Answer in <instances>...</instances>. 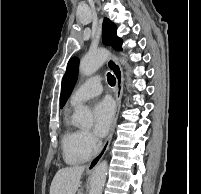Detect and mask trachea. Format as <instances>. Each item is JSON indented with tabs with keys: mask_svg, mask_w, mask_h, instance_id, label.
<instances>
[{
	"mask_svg": "<svg viewBox=\"0 0 201 194\" xmlns=\"http://www.w3.org/2000/svg\"><path fill=\"white\" fill-rule=\"evenodd\" d=\"M107 81L110 86H114L116 84V78L111 74H107Z\"/></svg>",
	"mask_w": 201,
	"mask_h": 194,
	"instance_id": "obj_1",
	"label": "trachea"
}]
</instances>
